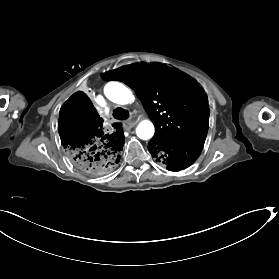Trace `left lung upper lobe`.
<instances>
[{
	"instance_id": "1",
	"label": "left lung upper lobe",
	"mask_w": 279,
	"mask_h": 279,
	"mask_svg": "<svg viewBox=\"0 0 279 279\" xmlns=\"http://www.w3.org/2000/svg\"><path fill=\"white\" fill-rule=\"evenodd\" d=\"M131 87L155 125L152 141L203 147L209 127L205 93L186 75L160 64H131L102 74Z\"/></svg>"
}]
</instances>
